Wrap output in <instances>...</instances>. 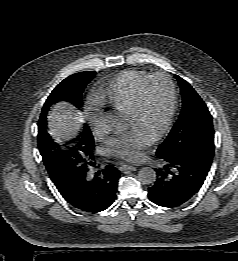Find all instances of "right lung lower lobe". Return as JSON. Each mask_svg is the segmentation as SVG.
I'll use <instances>...</instances> for the list:
<instances>
[{"label":"right lung lower lobe","instance_id":"obj_1","mask_svg":"<svg viewBox=\"0 0 238 261\" xmlns=\"http://www.w3.org/2000/svg\"><path fill=\"white\" fill-rule=\"evenodd\" d=\"M119 177V170L111 165L94 176L86 168L69 182L56 187L73 207L85 212H100L114 202Z\"/></svg>","mask_w":238,"mask_h":261}]
</instances>
